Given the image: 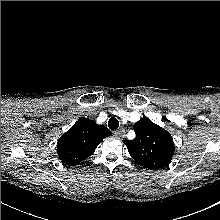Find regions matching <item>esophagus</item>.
Segmentation results:
<instances>
[{
  "label": "esophagus",
  "mask_w": 220,
  "mask_h": 220,
  "mask_svg": "<svg viewBox=\"0 0 220 220\" xmlns=\"http://www.w3.org/2000/svg\"><path fill=\"white\" fill-rule=\"evenodd\" d=\"M118 137H124L125 136V129L119 128L113 132Z\"/></svg>",
  "instance_id": "34e87169"
}]
</instances>
